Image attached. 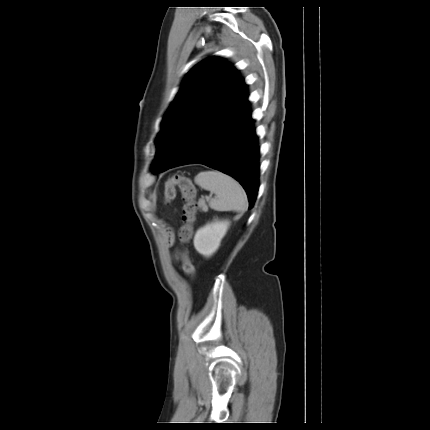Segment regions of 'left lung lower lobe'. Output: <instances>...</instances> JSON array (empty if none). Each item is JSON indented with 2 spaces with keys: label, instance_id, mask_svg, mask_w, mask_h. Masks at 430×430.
I'll return each mask as SVG.
<instances>
[{
  "label": "left lung lower lobe",
  "instance_id": "0a47b994",
  "mask_svg": "<svg viewBox=\"0 0 430 430\" xmlns=\"http://www.w3.org/2000/svg\"><path fill=\"white\" fill-rule=\"evenodd\" d=\"M184 164H204L235 178L245 189L251 209L259 188V147L250 107L230 119L206 115L159 171Z\"/></svg>",
  "mask_w": 430,
  "mask_h": 430
}]
</instances>
